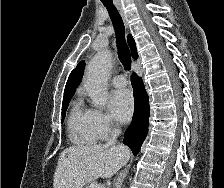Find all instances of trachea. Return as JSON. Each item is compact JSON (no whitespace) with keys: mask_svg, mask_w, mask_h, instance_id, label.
I'll return each mask as SVG.
<instances>
[{"mask_svg":"<svg viewBox=\"0 0 224 188\" xmlns=\"http://www.w3.org/2000/svg\"><path fill=\"white\" fill-rule=\"evenodd\" d=\"M103 5L107 9L115 29L119 59L126 70H131L130 51L125 40V27L122 17L113 3L103 2Z\"/></svg>","mask_w":224,"mask_h":188,"instance_id":"trachea-1","label":"trachea"}]
</instances>
